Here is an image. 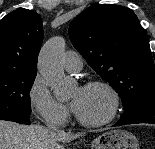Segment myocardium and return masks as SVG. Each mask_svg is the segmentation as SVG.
Wrapping results in <instances>:
<instances>
[{
	"mask_svg": "<svg viewBox=\"0 0 155 149\" xmlns=\"http://www.w3.org/2000/svg\"><path fill=\"white\" fill-rule=\"evenodd\" d=\"M84 88H97L104 91L110 99V103H111L110 111H109V114L104 119L98 120V121L85 120L77 113H75V117L77 121L83 126L100 127L114 120V118L117 116V113L120 107V96L117 90L112 85L102 80L89 81L88 83L85 84Z\"/></svg>",
	"mask_w": 155,
	"mask_h": 149,
	"instance_id": "obj_1",
	"label": "myocardium"
}]
</instances>
